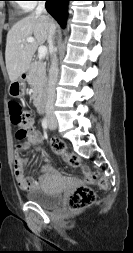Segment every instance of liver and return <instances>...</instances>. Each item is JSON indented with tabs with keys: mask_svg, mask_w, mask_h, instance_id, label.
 <instances>
[{
	"mask_svg": "<svg viewBox=\"0 0 133 253\" xmlns=\"http://www.w3.org/2000/svg\"><path fill=\"white\" fill-rule=\"evenodd\" d=\"M55 26L53 20L45 15L31 13L18 21L7 34L5 61L11 82L16 81L29 67L39 45L48 39L49 28ZM56 29V26H55ZM34 35V42H27Z\"/></svg>",
	"mask_w": 133,
	"mask_h": 253,
	"instance_id": "1",
	"label": "liver"
}]
</instances>
